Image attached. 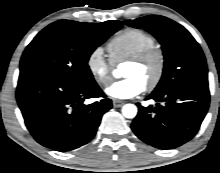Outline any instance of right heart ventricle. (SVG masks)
<instances>
[{
    "label": "right heart ventricle",
    "instance_id": "obj_1",
    "mask_svg": "<svg viewBox=\"0 0 220 173\" xmlns=\"http://www.w3.org/2000/svg\"><path fill=\"white\" fill-rule=\"evenodd\" d=\"M154 47H156L155 38L151 34L136 28H126L120 31L107 44V50L113 64L124 62Z\"/></svg>",
    "mask_w": 220,
    "mask_h": 173
}]
</instances>
